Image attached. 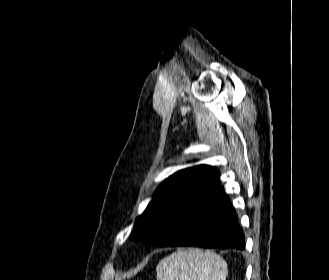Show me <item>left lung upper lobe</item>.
Wrapping results in <instances>:
<instances>
[{
  "label": "left lung upper lobe",
  "instance_id": "left-lung-upper-lobe-1",
  "mask_svg": "<svg viewBox=\"0 0 329 280\" xmlns=\"http://www.w3.org/2000/svg\"><path fill=\"white\" fill-rule=\"evenodd\" d=\"M219 172L207 165L187 168L170 176L156 190L155 198L136 219L131 239L166 246L169 237L160 231L189 200L216 186Z\"/></svg>",
  "mask_w": 329,
  "mask_h": 280
}]
</instances>
